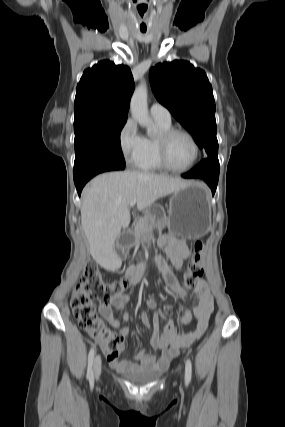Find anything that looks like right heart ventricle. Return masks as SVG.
I'll return each mask as SVG.
<instances>
[{"instance_id": "e07e8e85", "label": "right heart ventricle", "mask_w": 285, "mask_h": 427, "mask_svg": "<svg viewBox=\"0 0 285 427\" xmlns=\"http://www.w3.org/2000/svg\"><path fill=\"white\" fill-rule=\"evenodd\" d=\"M160 131L171 128V123L156 120ZM137 168L143 171L156 172L163 169L157 151V137H144L142 151L135 163Z\"/></svg>"}]
</instances>
